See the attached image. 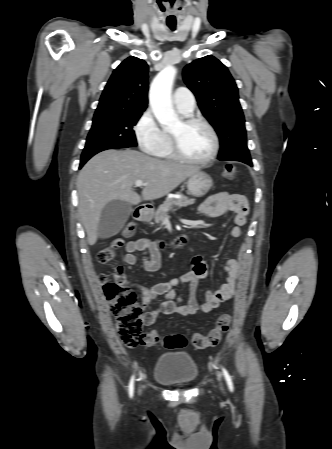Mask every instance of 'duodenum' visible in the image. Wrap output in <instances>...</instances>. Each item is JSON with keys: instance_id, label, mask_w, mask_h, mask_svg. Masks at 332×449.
Wrapping results in <instances>:
<instances>
[{"instance_id": "obj_1", "label": "duodenum", "mask_w": 332, "mask_h": 449, "mask_svg": "<svg viewBox=\"0 0 332 449\" xmlns=\"http://www.w3.org/2000/svg\"><path fill=\"white\" fill-rule=\"evenodd\" d=\"M149 214H150V209L147 206L143 205V206L138 207V209L135 213V218L138 222H145L148 220ZM184 243H186L185 236L178 237L174 242V244L176 246H181Z\"/></svg>"}]
</instances>
